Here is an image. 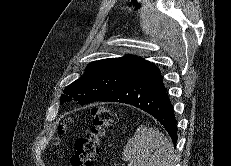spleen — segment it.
Instances as JSON below:
<instances>
[{
	"mask_svg": "<svg viewBox=\"0 0 231 166\" xmlns=\"http://www.w3.org/2000/svg\"><path fill=\"white\" fill-rule=\"evenodd\" d=\"M128 166H174V147L158 129L141 125L123 149Z\"/></svg>",
	"mask_w": 231,
	"mask_h": 166,
	"instance_id": "obj_1",
	"label": "spleen"
}]
</instances>
